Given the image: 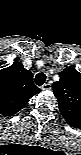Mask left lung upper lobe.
<instances>
[{
    "label": "left lung upper lobe",
    "mask_w": 81,
    "mask_h": 155,
    "mask_svg": "<svg viewBox=\"0 0 81 155\" xmlns=\"http://www.w3.org/2000/svg\"><path fill=\"white\" fill-rule=\"evenodd\" d=\"M60 79L52 85L59 109L68 124L81 127V73L73 67L60 72Z\"/></svg>",
    "instance_id": "5c2ea615"
}]
</instances>
